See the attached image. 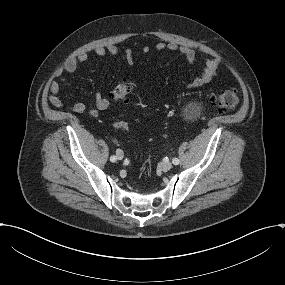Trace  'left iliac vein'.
Returning a JSON list of instances; mask_svg holds the SVG:
<instances>
[{"label":"left iliac vein","instance_id":"4c4485c4","mask_svg":"<svg viewBox=\"0 0 285 285\" xmlns=\"http://www.w3.org/2000/svg\"><path fill=\"white\" fill-rule=\"evenodd\" d=\"M160 167L162 170H170L172 168V163L171 162H163L160 164Z\"/></svg>","mask_w":285,"mask_h":285}]
</instances>
